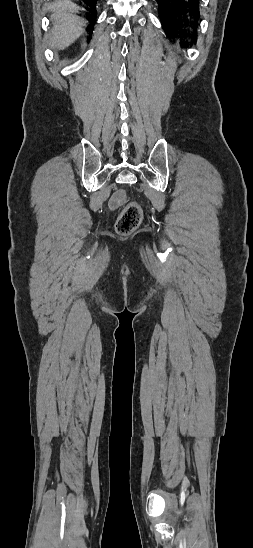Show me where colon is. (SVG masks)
I'll use <instances>...</instances> for the list:
<instances>
[{
    "label": "colon",
    "instance_id": "colon-1",
    "mask_svg": "<svg viewBox=\"0 0 253 548\" xmlns=\"http://www.w3.org/2000/svg\"><path fill=\"white\" fill-rule=\"evenodd\" d=\"M143 211L137 202H130L120 213L116 222V232L122 236L130 235L140 225Z\"/></svg>",
    "mask_w": 253,
    "mask_h": 548
}]
</instances>
